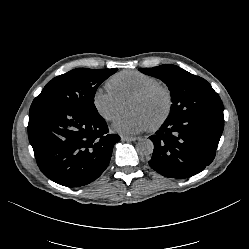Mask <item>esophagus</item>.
Instances as JSON below:
<instances>
[{"instance_id": "obj_1", "label": "esophagus", "mask_w": 249, "mask_h": 249, "mask_svg": "<svg viewBox=\"0 0 249 249\" xmlns=\"http://www.w3.org/2000/svg\"><path fill=\"white\" fill-rule=\"evenodd\" d=\"M135 140H136L135 137H129V136H124V135L121 136V141H123V142H132Z\"/></svg>"}]
</instances>
